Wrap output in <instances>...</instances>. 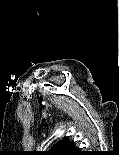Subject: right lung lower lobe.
I'll use <instances>...</instances> for the list:
<instances>
[{
    "instance_id": "98d812e1",
    "label": "right lung lower lobe",
    "mask_w": 119,
    "mask_h": 155,
    "mask_svg": "<svg viewBox=\"0 0 119 155\" xmlns=\"http://www.w3.org/2000/svg\"><path fill=\"white\" fill-rule=\"evenodd\" d=\"M66 155H85L84 151H81L78 147L73 146Z\"/></svg>"
}]
</instances>
